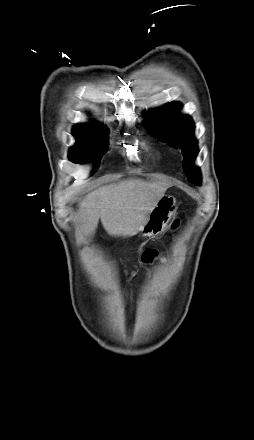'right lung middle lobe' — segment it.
<instances>
[{
	"instance_id": "obj_1",
	"label": "right lung middle lobe",
	"mask_w": 254,
	"mask_h": 440,
	"mask_svg": "<svg viewBox=\"0 0 254 440\" xmlns=\"http://www.w3.org/2000/svg\"><path fill=\"white\" fill-rule=\"evenodd\" d=\"M107 130L91 131L74 128L73 134L77 144L70 148V160L74 163H84L104 152L107 146Z\"/></svg>"
}]
</instances>
